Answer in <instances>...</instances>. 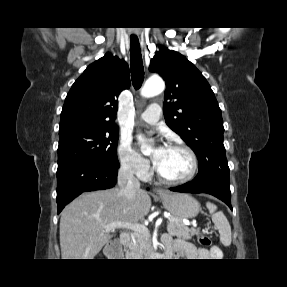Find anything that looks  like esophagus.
<instances>
[{"label": "esophagus", "mask_w": 287, "mask_h": 287, "mask_svg": "<svg viewBox=\"0 0 287 287\" xmlns=\"http://www.w3.org/2000/svg\"><path fill=\"white\" fill-rule=\"evenodd\" d=\"M154 193L155 194H164L165 191L163 189H161V188H156V189H154Z\"/></svg>", "instance_id": "esophagus-1"}]
</instances>
